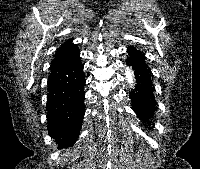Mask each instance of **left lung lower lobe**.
Instances as JSON below:
<instances>
[{"label": "left lung lower lobe", "instance_id": "1", "mask_svg": "<svg viewBox=\"0 0 200 169\" xmlns=\"http://www.w3.org/2000/svg\"><path fill=\"white\" fill-rule=\"evenodd\" d=\"M127 52L130 57L127 60L131 65L135 75V89L130 93L132 108L137 115L148 123L155 112L154 87L150 79V69L145 63L144 54L133 48L128 47Z\"/></svg>", "mask_w": 200, "mask_h": 169}]
</instances>
